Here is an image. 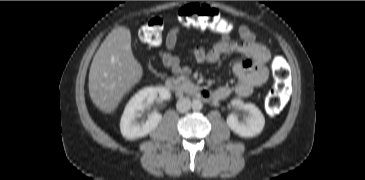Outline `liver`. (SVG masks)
<instances>
[{
    "instance_id": "6515ba94",
    "label": "liver",
    "mask_w": 365,
    "mask_h": 180,
    "mask_svg": "<svg viewBox=\"0 0 365 180\" xmlns=\"http://www.w3.org/2000/svg\"><path fill=\"white\" fill-rule=\"evenodd\" d=\"M143 75L131 49V32L113 29L96 52L89 71V94L105 113H113Z\"/></svg>"
}]
</instances>
